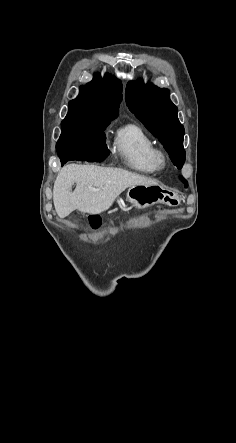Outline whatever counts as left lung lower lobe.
Listing matches in <instances>:
<instances>
[{
	"label": "left lung lower lobe",
	"mask_w": 236,
	"mask_h": 443,
	"mask_svg": "<svg viewBox=\"0 0 236 443\" xmlns=\"http://www.w3.org/2000/svg\"><path fill=\"white\" fill-rule=\"evenodd\" d=\"M182 181H183V183H185V184L187 185V182H186V180H185V179H182Z\"/></svg>",
	"instance_id": "1"
}]
</instances>
